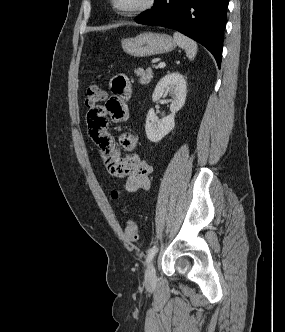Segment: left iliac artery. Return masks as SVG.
Wrapping results in <instances>:
<instances>
[{
	"label": "left iliac artery",
	"mask_w": 285,
	"mask_h": 332,
	"mask_svg": "<svg viewBox=\"0 0 285 332\" xmlns=\"http://www.w3.org/2000/svg\"><path fill=\"white\" fill-rule=\"evenodd\" d=\"M158 248L156 245H154L150 250L148 251L147 258H146V263L149 264L151 260L153 259L154 255L156 254Z\"/></svg>",
	"instance_id": "1"
}]
</instances>
